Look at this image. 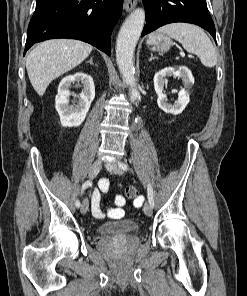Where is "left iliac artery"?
<instances>
[{
	"label": "left iliac artery",
	"mask_w": 247,
	"mask_h": 296,
	"mask_svg": "<svg viewBox=\"0 0 247 296\" xmlns=\"http://www.w3.org/2000/svg\"><path fill=\"white\" fill-rule=\"evenodd\" d=\"M118 166L122 169V170H128L129 166L126 163L123 162H119ZM147 192H148V200H149V204L152 206V208L154 207V198H153V189L152 186L149 184L148 188H147Z\"/></svg>",
	"instance_id": "obj_1"
}]
</instances>
